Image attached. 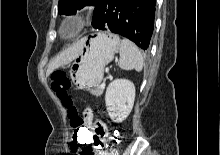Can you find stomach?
<instances>
[{
    "instance_id": "stomach-1",
    "label": "stomach",
    "mask_w": 220,
    "mask_h": 155,
    "mask_svg": "<svg viewBox=\"0 0 220 155\" xmlns=\"http://www.w3.org/2000/svg\"><path fill=\"white\" fill-rule=\"evenodd\" d=\"M83 47L70 68V77L79 90L92 93L103 79L104 67L120 47V38L110 32L85 37Z\"/></svg>"
}]
</instances>
